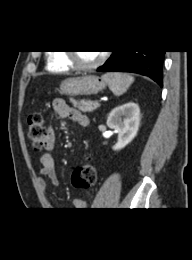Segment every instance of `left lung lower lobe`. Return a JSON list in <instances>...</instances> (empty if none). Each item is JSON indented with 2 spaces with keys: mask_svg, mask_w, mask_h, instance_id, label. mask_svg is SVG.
<instances>
[{
  "mask_svg": "<svg viewBox=\"0 0 192 260\" xmlns=\"http://www.w3.org/2000/svg\"><path fill=\"white\" fill-rule=\"evenodd\" d=\"M165 51H116L98 71L133 72L150 77L163 86L162 63Z\"/></svg>",
  "mask_w": 192,
  "mask_h": 260,
  "instance_id": "0a47b994",
  "label": "left lung lower lobe"
}]
</instances>
